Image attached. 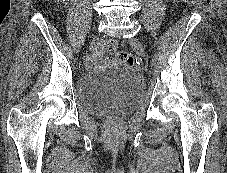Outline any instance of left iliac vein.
Returning <instances> with one entry per match:
<instances>
[{
  "mask_svg": "<svg viewBox=\"0 0 227 173\" xmlns=\"http://www.w3.org/2000/svg\"><path fill=\"white\" fill-rule=\"evenodd\" d=\"M130 44L131 46L136 50V52L144 57L145 56V48L143 46V44L137 39V38H132L130 39Z\"/></svg>",
  "mask_w": 227,
  "mask_h": 173,
  "instance_id": "left-iliac-vein-1",
  "label": "left iliac vein"
}]
</instances>
